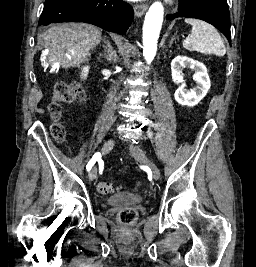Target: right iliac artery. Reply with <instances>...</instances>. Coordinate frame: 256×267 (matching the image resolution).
<instances>
[{
  "label": "right iliac artery",
  "mask_w": 256,
  "mask_h": 267,
  "mask_svg": "<svg viewBox=\"0 0 256 267\" xmlns=\"http://www.w3.org/2000/svg\"><path fill=\"white\" fill-rule=\"evenodd\" d=\"M99 159H101V154L99 152L95 153L86 166L87 171L91 170L95 162Z\"/></svg>",
  "instance_id": "obj_1"
}]
</instances>
